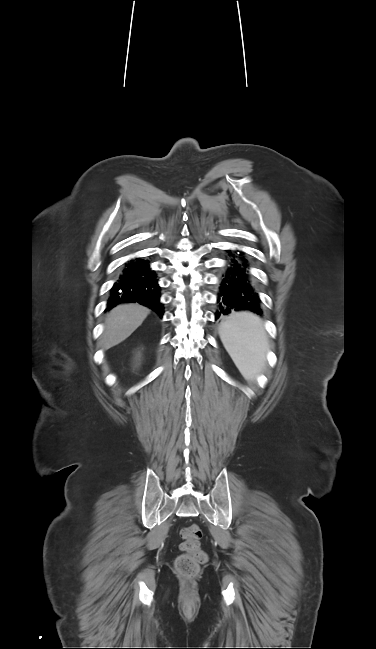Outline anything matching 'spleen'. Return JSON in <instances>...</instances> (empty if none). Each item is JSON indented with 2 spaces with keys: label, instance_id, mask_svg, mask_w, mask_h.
I'll use <instances>...</instances> for the list:
<instances>
[{
  "label": "spleen",
  "instance_id": "1",
  "mask_svg": "<svg viewBox=\"0 0 376 649\" xmlns=\"http://www.w3.org/2000/svg\"><path fill=\"white\" fill-rule=\"evenodd\" d=\"M220 338L235 365L246 380H254L266 361L267 334L255 314L233 312L219 328Z\"/></svg>",
  "mask_w": 376,
  "mask_h": 649
}]
</instances>
